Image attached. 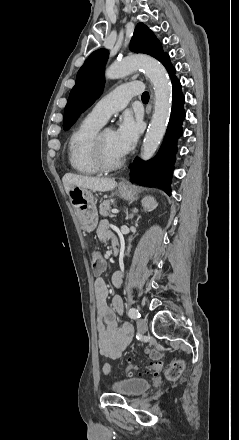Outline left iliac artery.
<instances>
[{"mask_svg": "<svg viewBox=\"0 0 239 440\" xmlns=\"http://www.w3.org/2000/svg\"><path fill=\"white\" fill-rule=\"evenodd\" d=\"M128 315H129V317L132 318V319H138V318H140V313H139V311H138L137 309H135V308H130L129 311H128Z\"/></svg>", "mask_w": 239, "mask_h": 440, "instance_id": "44dca946", "label": "left iliac artery"}]
</instances>
